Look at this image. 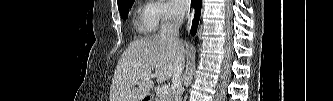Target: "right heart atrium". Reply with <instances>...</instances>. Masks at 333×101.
Masks as SVG:
<instances>
[{"label":"right heart atrium","mask_w":333,"mask_h":101,"mask_svg":"<svg viewBox=\"0 0 333 101\" xmlns=\"http://www.w3.org/2000/svg\"><path fill=\"white\" fill-rule=\"evenodd\" d=\"M150 13L156 27L160 24L172 22L179 16L178 11L168 1L164 0L151 2Z\"/></svg>","instance_id":"1"}]
</instances>
